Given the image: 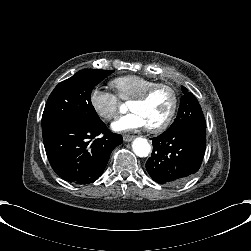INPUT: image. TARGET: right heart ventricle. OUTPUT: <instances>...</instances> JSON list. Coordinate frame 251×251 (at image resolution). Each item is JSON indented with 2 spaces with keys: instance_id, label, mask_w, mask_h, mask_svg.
<instances>
[{
  "instance_id": "1",
  "label": "right heart ventricle",
  "mask_w": 251,
  "mask_h": 251,
  "mask_svg": "<svg viewBox=\"0 0 251 251\" xmlns=\"http://www.w3.org/2000/svg\"><path fill=\"white\" fill-rule=\"evenodd\" d=\"M154 82L155 80L147 76L129 74L113 79L111 84L117 89L119 97L133 99Z\"/></svg>"
}]
</instances>
